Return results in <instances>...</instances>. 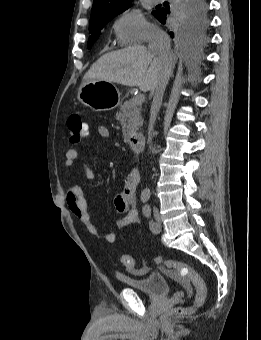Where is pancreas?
Returning <instances> with one entry per match:
<instances>
[{
    "label": "pancreas",
    "instance_id": "obj_1",
    "mask_svg": "<svg viewBox=\"0 0 261 340\" xmlns=\"http://www.w3.org/2000/svg\"><path fill=\"white\" fill-rule=\"evenodd\" d=\"M117 119L122 125L123 138L126 142L143 124L140 108L133 106L131 100H127L120 105V112L117 113Z\"/></svg>",
    "mask_w": 261,
    "mask_h": 340
}]
</instances>
